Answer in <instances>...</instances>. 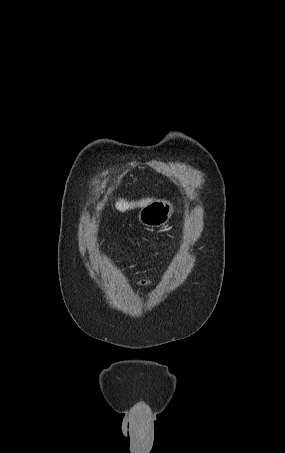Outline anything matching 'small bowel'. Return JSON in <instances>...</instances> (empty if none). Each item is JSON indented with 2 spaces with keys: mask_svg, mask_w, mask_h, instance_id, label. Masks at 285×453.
I'll return each instance as SVG.
<instances>
[{
  "mask_svg": "<svg viewBox=\"0 0 285 453\" xmlns=\"http://www.w3.org/2000/svg\"><path fill=\"white\" fill-rule=\"evenodd\" d=\"M151 285V281L149 279H140L136 282V286L139 288H146Z\"/></svg>",
  "mask_w": 285,
  "mask_h": 453,
  "instance_id": "c3829d8e",
  "label": "small bowel"
}]
</instances>
